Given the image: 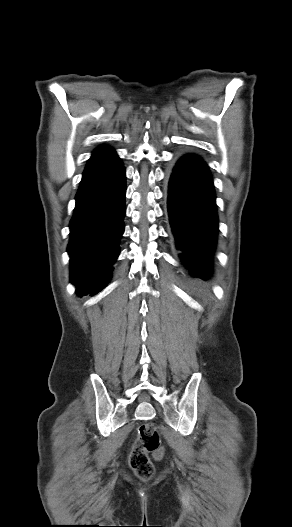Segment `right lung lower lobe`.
Returning <instances> with one entry per match:
<instances>
[{
    "mask_svg": "<svg viewBox=\"0 0 292 527\" xmlns=\"http://www.w3.org/2000/svg\"><path fill=\"white\" fill-rule=\"evenodd\" d=\"M125 168L114 150L98 147L89 159L70 221V280L79 296L94 295L111 278L124 232Z\"/></svg>",
    "mask_w": 292,
    "mask_h": 527,
    "instance_id": "1",
    "label": "right lung lower lobe"
}]
</instances>
